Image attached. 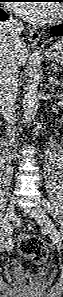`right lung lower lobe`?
<instances>
[{
	"instance_id": "right-lung-lower-lobe-1",
	"label": "right lung lower lobe",
	"mask_w": 63,
	"mask_h": 297,
	"mask_svg": "<svg viewBox=\"0 0 63 297\" xmlns=\"http://www.w3.org/2000/svg\"><path fill=\"white\" fill-rule=\"evenodd\" d=\"M8 15L0 9V21L7 20Z\"/></svg>"
}]
</instances>
